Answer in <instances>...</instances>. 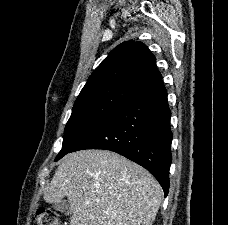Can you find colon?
Returning <instances> with one entry per match:
<instances>
[{
	"mask_svg": "<svg viewBox=\"0 0 228 225\" xmlns=\"http://www.w3.org/2000/svg\"><path fill=\"white\" fill-rule=\"evenodd\" d=\"M34 223L35 225H60L57 212L43 206L35 212Z\"/></svg>",
	"mask_w": 228,
	"mask_h": 225,
	"instance_id": "colon-1",
	"label": "colon"
}]
</instances>
